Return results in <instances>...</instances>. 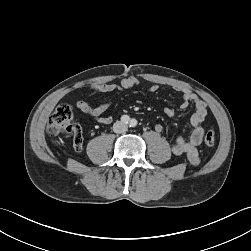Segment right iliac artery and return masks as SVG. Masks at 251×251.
Instances as JSON below:
<instances>
[{
    "label": "right iliac artery",
    "mask_w": 251,
    "mask_h": 251,
    "mask_svg": "<svg viewBox=\"0 0 251 251\" xmlns=\"http://www.w3.org/2000/svg\"><path fill=\"white\" fill-rule=\"evenodd\" d=\"M121 121H122L123 123H128V122L130 121V117H129L128 115H123V116L121 117Z\"/></svg>",
    "instance_id": "right-iliac-artery-1"
}]
</instances>
